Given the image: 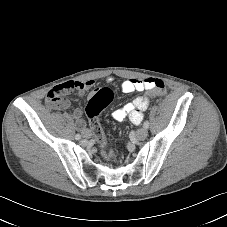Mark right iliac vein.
I'll use <instances>...</instances> for the list:
<instances>
[{"mask_svg": "<svg viewBox=\"0 0 227 227\" xmlns=\"http://www.w3.org/2000/svg\"><path fill=\"white\" fill-rule=\"evenodd\" d=\"M90 136H91L90 131H86V132L84 133V137L89 138Z\"/></svg>", "mask_w": 227, "mask_h": 227, "instance_id": "right-iliac-vein-1", "label": "right iliac vein"}]
</instances>
